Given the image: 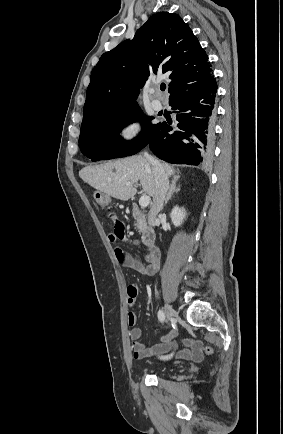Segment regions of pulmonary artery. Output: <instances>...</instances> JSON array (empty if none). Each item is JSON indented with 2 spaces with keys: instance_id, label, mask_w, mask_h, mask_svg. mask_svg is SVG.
<instances>
[{
  "instance_id": "obj_1",
  "label": "pulmonary artery",
  "mask_w": 283,
  "mask_h": 434,
  "mask_svg": "<svg viewBox=\"0 0 283 434\" xmlns=\"http://www.w3.org/2000/svg\"><path fill=\"white\" fill-rule=\"evenodd\" d=\"M158 91H159V89H158L157 86H155V87L153 88V90H152V92H153L154 94H157ZM151 104H152L153 109L156 110V111H161V110L163 109V103H162V101H161V99H160L159 97H155V98L152 100V103H151Z\"/></svg>"
}]
</instances>
